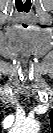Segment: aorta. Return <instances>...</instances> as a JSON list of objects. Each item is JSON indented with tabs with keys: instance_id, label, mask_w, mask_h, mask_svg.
<instances>
[{
	"instance_id": "762f6f07",
	"label": "aorta",
	"mask_w": 53,
	"mask_h": 133,
	"mask_svg": "<svg viewBox=\"0 0 53 133\" xmlns=\"http://www.w3.org/2000/svg\"><path fill=\"white\" fill-rule=\"evenodd\" d=\"M15 128L16 131H19L21 133H34L36 130H38L39 126L35 121H25L17 124Z\"/></svg>"
}]
</instances>
